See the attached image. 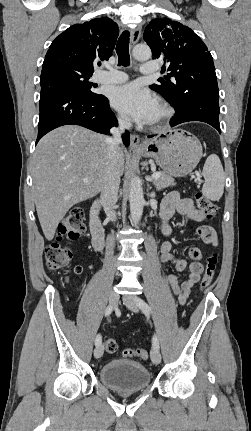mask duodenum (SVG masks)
Segmentation results:
<instances>
[{
	"instance_id": "obj_1",
	"label": "duodenum",
	"mask_w": 251,
	"mask_h": 431,
	"mask_svg": "<svg viewBox=\"0 0 251 431\" xmlns=\"http://www.w3.org/2000/svg\"><path fill=\"white\" fill-rule=\"evenodd\" d=\"M101 203L95 201L90 210V231L92 234V243L97 250L104 246L105 233L102 221L100 219Z\"/></svg>"
}]
</instances>
